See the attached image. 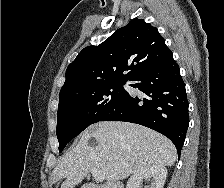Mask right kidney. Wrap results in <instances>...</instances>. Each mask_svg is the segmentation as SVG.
Returning <instances> with one entry per match:
<instances>
[{
    "instance_id": "obj_1",
    "label": "right kidney",
    "mask_w": 224,
    "mask_h": 188,
    "mask_svg": "<svg viewBox=\"0 0 224 188\" xmlns=\"http://www.w3.org/2000/svg\"><path fill=\"white\" fill-rule=\"evenodd\" d=\"M167 177V169L163 165H151L136 171L128 180L126 188H142L143 179L151 181L148 188H163Z\"/></svg>"
}]
</instances>
